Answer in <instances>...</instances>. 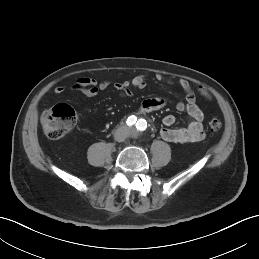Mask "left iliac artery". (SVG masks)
<instances>
[{
	"label": "left iliac artery",
	"mask_w": 259,
	"mask_h": 259,
	"mask_svg": "<svg viewBox=\"0 0 259 259\" xmlns=\"http://www.w3.org/2000/svg\"><path fill=\"white\" fill-rule=\"evenodd\" d=\"M136 125L137 128L142 131L145 130L147 127V123L145 124V120H139Z\"/></svg>",
	"instance_id": "1"
}]
</instances>
